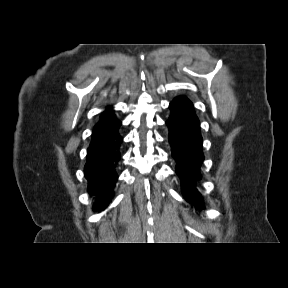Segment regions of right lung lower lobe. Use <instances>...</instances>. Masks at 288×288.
Masks as SVG:
<instances>
[{
	"mask_svg": "<svg viewBox=\"0 0 288 288\" xmlns=\"http://www.w3.org/2000/svg\"><path fill=\"white\" fill-rule=\"evenodd\" d=\"M122 141L117 129L104 140L91 143L87 149L84 174L88 181V192L96 197L93 210H104L113 196V188L118 179L117 167L121 159Z\"/></svg>",
	"mask_w": 288,
	"mask_h": 288,
	"instance_id": "98d812e1",
	"label": "right lung lower lobe"
}]
</instances>
